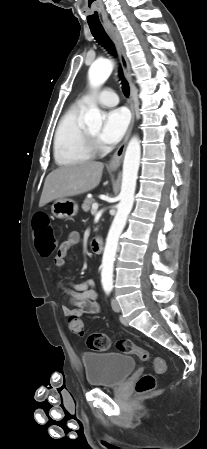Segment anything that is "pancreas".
I'll list each match as a JSON object with an SVG mask.
<instances>
[{
    "mask_svg": "<svg viewBox=\"0 0 207 449\" xmlns=\"http://www.w3.org/2000/svg\"><path fill=\"white\" fill-rule=\"evenodd\" d=\"M95 202L93 198H86L82 204V209L84 212H88L91 208V205Z\"/></svg>",
    "mask_w": 207,
    "mask_h": 449,
    "instance_id": "1",
    "label": "pancreas"
}]
</instances>
